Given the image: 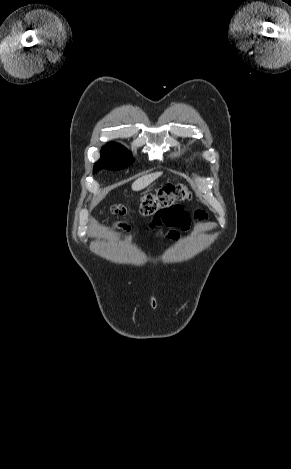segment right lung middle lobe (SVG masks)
<instances>
[{"instance_id": "dd1d6c3e", "label": "right lung middle lobe", "mask_w": 291, "mask_h": 469, "mask_svg": "<svg viewBox=\"0 0 291 469\" xmlns=\"http://www.w3.org/2000/svg\"><path fill=\"white\" fill-rule=\"evenodd\" d=\"M132 163V155L115 142H109L101 151V158L94 165L93 173L100 169L120 170Z\"/></svg>"}]
</instances>
